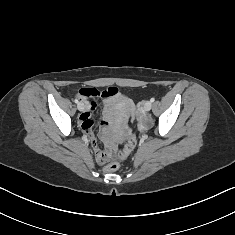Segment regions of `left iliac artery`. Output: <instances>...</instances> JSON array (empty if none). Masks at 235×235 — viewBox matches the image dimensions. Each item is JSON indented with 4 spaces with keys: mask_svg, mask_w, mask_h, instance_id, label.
<instances>
[{
    "mask_svg": "<svg viewBox=\"0 0 235 235\" xmlns=\"http://www.w3.org/2000/svg\"><path fill=\"white\" fill-rule=\"evenodd\" d=\"M150 101H151V102H154V101H155V98H151Z\"/></svg>",
    "mask_w": 235,
    "mask_h": 235,
    "instance_id": "obj_1",
    "label": "left iliac artery"
}]
</instances>
